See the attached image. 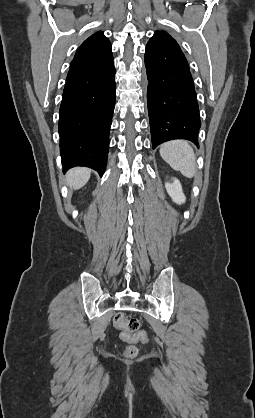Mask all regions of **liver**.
I'll return each instance as SVG.
<instances>
[{"label": "liver", "instance_id": "6515ba94", "mask_svg": "<svg viewBox=\"0 0 255 418\" xmlns=\"http://www.w3.org/2000/svg\"><path fill=\"white\" fill-rule=\"evenodd\" d=\"M91 170L88 168H73L66 176L67 184L74 190L82 188L89 180Z\"/></svg>", "mask_w": 255, "mask_h": 418}]
</instances>
